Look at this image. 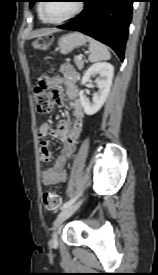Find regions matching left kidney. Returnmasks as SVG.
Returning a JSON list of instances; mask_svg holds the SVG:
<instances>
[{"instance_id": "left-kidney-1", "label": "left kidney", "mask_w": 158, "mask_h": 275, "mask_svg": "<svg viewBox=\"0 0 158 275\" xmlns=\"http://www.w3.org/2000/svg\"><path fill=\"white\" fill-rule=\"evenodd\" d=\"M95 73H100V79L96 82L99 90L93 96L92 103L85 97L84 90H81L79 93L80 103L87 115L97 113L105 103L112 84L114 67L108 62L94 63L85 71L81 84L84 85L90 81L91 76Z\"/></svg>"}]
</instances>
